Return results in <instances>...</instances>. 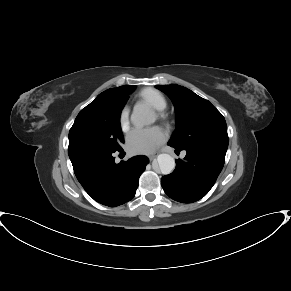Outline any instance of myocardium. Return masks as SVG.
Wrapping results in <instances>:
<instances>
[{
    "label": "myocardium",
    "instance_id": "1",
    "mask_svg": "<svg viewBox=\"0 0 291 291\" xmlns=\"http://www.w3.org/2000/svg\"><path fill=\"white\" fill-rule=\"evenodd\" d=\"M156 116L159 119H164L165 118V114L163 112H159V111L156 112Z\"/></svg>",
    "mask_w": 291,
    "mask_h": 291
}]
</instances>
